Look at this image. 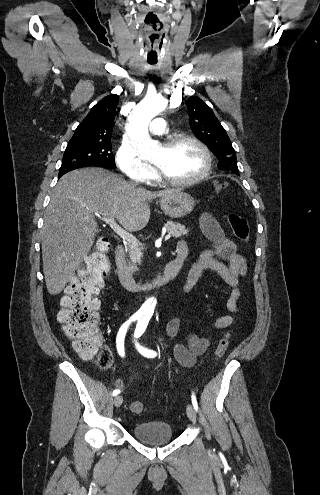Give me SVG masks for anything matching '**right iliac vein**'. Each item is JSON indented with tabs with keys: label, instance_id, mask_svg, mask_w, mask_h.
Segmentation results:
<instances>
[{
	"label": "right iliac vein",
	"instance_id": "obj_1",
	"mask_svg": "<svg viewBox=\"0 0 320 495\" xmlns=\"http://www.w3.org/2000/svg\"><path fill=\"white\" fill-rule=\"evenodd\" d=\"M123 402V397L121 395H117L115 398H114V405L115 407H120L121 404Z\"/></svg>",
	"mask_w": 320,
	"mask_h": 495
}]
</instances>
